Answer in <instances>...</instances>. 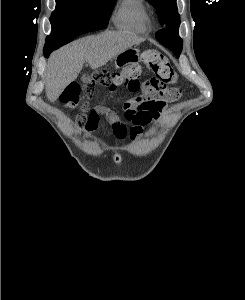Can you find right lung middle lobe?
Masks as SVG:
<instances>
[{
  "instance_id": "right-lung-middle-lobe-1",
  "label": "right lung middle lobe",
  "mask_w": 245,
  "mask_h": 300,
  "mask_svg": "<svg viewBox=\"0 0 245 300\" xmlns=\"http://www.w3.org/2000/svg\"><path fill=\"white\" fill-rule=\"evenodd\" d=\"M115 0H56L50 22L52 33L47 36L45 49H58L82 34L86 21L96 20L107 25Z\"/></svg>"
}]
</instances>
